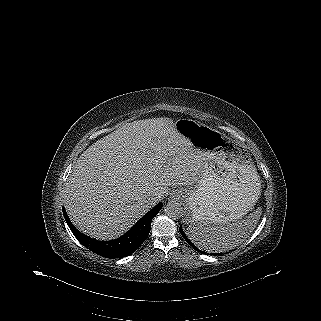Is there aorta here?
Here are the masks:
<instances>
[{"instance_id":"1","label":"aorta","mask_w":321,"mask_h":321,"mask_svg":"<svg viewBox=\"0 0 321 321\" xmlns=\"http://www.w3.org/2000/svg\"><path fill=\"white\" fill-rule=\"evenodd\" d=\"M165 213L173 219H178L183 215V207L177 201H170L166 204L164 208Z\"/></svg>"}]
</instances>
